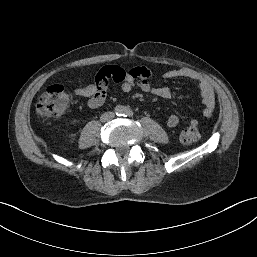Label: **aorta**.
<instances>
[{
  "instance_id": "762f6f07",
  "label": "aorta",
  "mask_w": 257,
  "mask_h": 257,
  "mask_svg": "<svg viewBox=\"0 0 257 257\" xmlns=\"http://www.w3.org/2000/svg\"><path fill=\"white\" fill-rule=\"evenodd\" d=\"M115 112H116L117 115H121V114H124L126 112V109H125L124 106L119 105L115 108Z\"/></svg>"
}]
</instances>
